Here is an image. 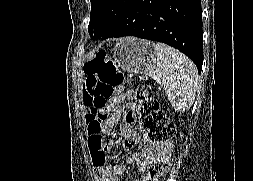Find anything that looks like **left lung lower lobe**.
Here are the masks:
<instances>
[{
	"label": "left lung lower lobe",
	"mask_w": 253,
	"mask_h": 181,
	"mask_svg": "<svg viewBox=\"0 0 253 181\" xmlns=\"http://www.w3.org/2000/svg\"><path fill=\"white\" fill-rule=\"evenodd\" d=\"M123 36L166 43L187 55L201 73L200 0H131L116 23L100 38Z\"/></svg>",
	"instance_id": "1"
}]
</instances>
